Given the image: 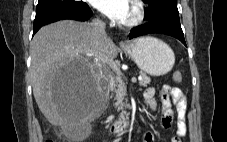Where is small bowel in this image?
Listing matches in <instances>:
<instances>
[{"label":"small bowel","mask_w":227,"mask_h":142,"mask_svg":"<svg viewBox=\"0 0 227 142\" xmlns=\"http://www.w3.org/2000/svg\"><path fill=\"white\" fill-rule=\"evenodd\" d=\"M155 89L152 87L146 88L143 92V98L145 103L151 110H155L157 102L154 98ZM162 111L161 122L164 128L169 129L173 124V110L171 104V97L173 98L176 111H177V134L172 139V142H181V138L186 135L187 127L185 122L186 113V98L179 88L164 85L159 90ZM144 142H153V135L150 132H146L143 136Z\"/></svg>","instance_id":"c3829d8e"}]
</instances>
